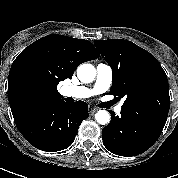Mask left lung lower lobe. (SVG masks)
I'll use <instances>...</instances> for the list:
<instances>
[{
	"mask_svg": "<svg viewBox=\"0 0 178 178\" xmlns=\"http://www.w3.org/2000/svg\"><path fill=\"white\" fill-rule=\"evenodd\" d=\"M111 122L103 128L105 147L120 156H135L149 149L159 138L163 127L136 118L124 111L121 116L110 112Z\"/></svg>",
	"mask_w": 178,
	"mask_h": 178,
	"instance_id": "1",
	"label": "left lung lower lobe"
}]
</instances>
